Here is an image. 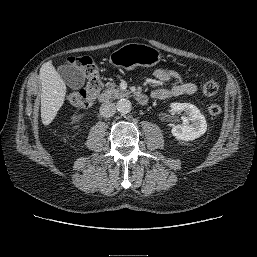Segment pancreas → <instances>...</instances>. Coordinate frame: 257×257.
Masks as SVG:
<instances>
[{"label": "pancreas", "mask_w": 257, "mask_h": 257, "mask_svg": "<svg viewBox=\"0 0 257 257\" xmlns=\"http://www.w3.org/2000/svg\"><path fill=\"white\" fill-rule=\"evenodd\" d=\"M104 95L107 98H120L126 95L125 91H123L122 89L119 88V86H117L114 83H110L106 85V89L104 91Z\"/></svg>", "instance_id": "pancreas-1"}]
</instances>
